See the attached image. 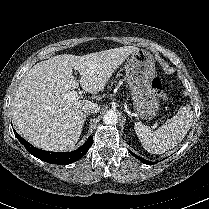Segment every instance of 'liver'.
<instances>
[{"instance_id":"1","label":"liver","mask_w":209,"mask_h":209,"mask_svg":"<svg viewBox=\"0 0 209 209\" xmlns=\"http://www.w3.org/2000/svg\"><path fill=\"white\" fill-rule=\"evenodd\" d=\"M134 46L75 56L56 55L35 64L22 78L11 101L13 124L33 146L48 151H69L83 128L82 107L88 100L69 101L65 92L78 88L97 94ZM80 74L77 80L72 69Z\"/></svg>"}]
</instances>
